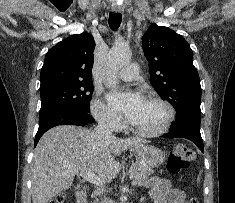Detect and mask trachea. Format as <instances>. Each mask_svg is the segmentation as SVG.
Masks as SVG:
<instances>
[{
  "label": "trachea",
  "mask_w": 235,
  "mask_h": 203,
  "mask_svg": "<svg viewBox=\"0 0 235 203\" xmlns=\"http://www.w3.org/2000/svg\"><path fill=\"white\" fill-rule=\"evenodd\" d=\"M122 15L120 13H110L109 26L112 30H117L121 24Z\"/></svg>",
  "instance_id": "trachea-1"
}]
</instances>
